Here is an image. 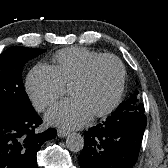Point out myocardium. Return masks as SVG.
I'll list each match as a JSON object with an SVG mask.
<instances>
[{"instance_id": "1", "label": "myocardium", "mask_w": 168, "mask_h": 168, "mask_svg": "<svg viewBox=\"0 0 168 168\" xmlns=\"http://www.w3.org/2000/svg\"><path fill=\"white\" fill-rule=\"evenodd\" d=\"M104 60H112L117 64L118 69H119L118 87H117V91H116L112 101L102 110L93 113L94 117H103V116L109 115L118 107L119 103L122 100L124 90H125V82H126V70H125V66H124L122 60L113 54H102V55L94 58L93 60H91L85 66L83 71L70 84V86H73V85L82 84L85 81H87L89 79L90 75L92 74L94 68L100 62H102Z\"/></svg>"}]
</instances>
